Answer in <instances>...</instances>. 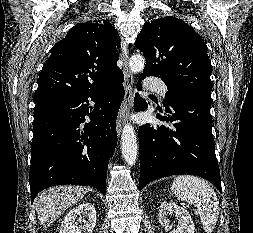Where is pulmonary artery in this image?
<instances>
[{
    "instance_id": "e3ab8cb5",
    "label": "pulmonary artery",
    "mask_w": 253,
    "mask_h": 233,
    "mask_svg": "<svg viewBox=\"0 0 253 233\" xmlns=\"http://www.w3.org/2000/svg\"><path fill=\"white\" fill-rule=\"evenodd\" d=\"M145 85L147 89L158 93L162 97H165L167 95L168 87L161 80L148 79L145 82Z\"/></svg>"
}]
</instances>
